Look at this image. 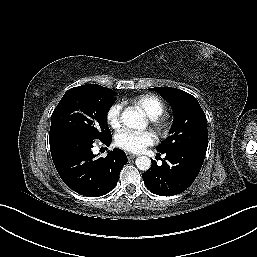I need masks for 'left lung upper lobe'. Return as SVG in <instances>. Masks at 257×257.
Segmentation results:
<instances>
[{
	"mask_svg": "<svg viewBox=\"0 0 257 257\" xmlns=\"http://www.w3.org/2000/svg\"><path fill=\"white\" fill-rule=\"evenodd\" d=\"M170 104L174 121L170 136L157 151H189L206 155L208 146L207 119L198 101L191 94L171 87H154Z\"/></svg>",
	"mask_w": 257,
	"mask_h": 257,
	"instance_id": "1",
	"label": "left lung upper lobe"
}]
</instances>
